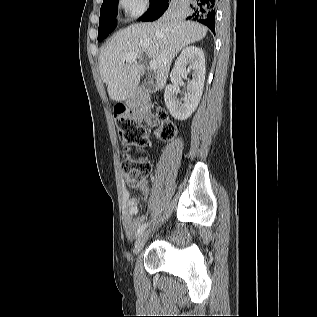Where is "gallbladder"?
<instances>
[{"label":"gallbladder","instance_id":"bac80fb5","mask_svg":"<svg viewBox=\"0 0 317 317\" xmlns=\"http://www.w3.org/2000/svg\"><path fill=\"white\" fill-rule=\"evenodd\" d=\"M153 87V83L152 82H147L143 85V88L146 90H151Z\"/></svg>","mask_w":317,"mask_h":317}]
</instances>
